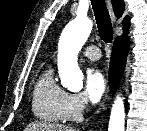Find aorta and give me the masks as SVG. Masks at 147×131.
I'll list each match as a JSON object with an SVG mask.
<instances>
[{
	"label": "aorta",
	"instance_id": "aorta-1",
	"mask_svg": "<svg viewBox=\"0 0 147 131\" xmlns=\"http://www.w3.org/2000/svg\"><path fill=\"white\" fill-rule=\"evenodd\" d=\"M92 21L76 17L65 27L59 41L58 71L63 87L72 92L83 88L84 75L77 56L92 30ZM125 108L123 98L117 96L111 109L108 131H124Z\"/></svg>",
	"mask_w": 147,
	"mask_h": 131
}]
</instances>
